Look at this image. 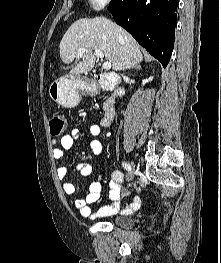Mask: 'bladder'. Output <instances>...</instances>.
Wrapping results in <instances>:
<instances>
[{
	"label": "bladder",
	"mask_w": 221,
	"mask_h": 263,
	"mask_svg": "<svg viewBox=\"0 0 221 263\" xmlns=\"http://www.w3.org/2000/svg\"><path fill=\"white\" fill-rule=\"evenodd\" d=\"M108 222L123 229L132 228L134 225L133 219L123 216L110 217Z\"/></svg>",
	"instance_id": "obj_1"
}]
</instances>
